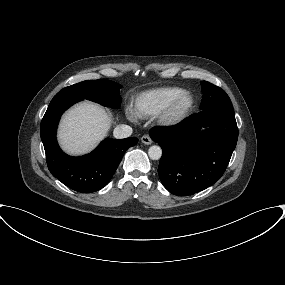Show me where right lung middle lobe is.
Instances as JSON below:
<instances>
[{"label": "right lung middle lobe", "mask_w": 285, "mask_h": 285, "mask_svg": "<svg viewBox=\"0 0 285 285\" xmlns=\"http://www.w3.org/2000/svg\"><path fill=\"white\" fill-rule=\"evenodd\" d=\"M121 85L105 80L83 81L62 89L58 94H69L79 100L87 99L103 106L118 108L122 101L119 90Z\"/></svg>", "instance_id": "1"}]
</instances>
